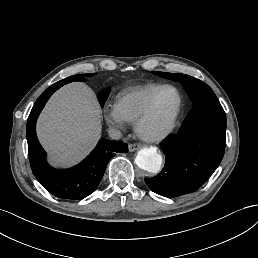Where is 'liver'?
Listing matches in <instances>:
<instances>
[{
	"mask_svg": "<svg viewBox=\"0 0 258 258\" xmlns=\"http://www.w3.org/2000/svg\"><path fill=\"white\" fill-rule=\"evenodd\" d=\"M36 130L54 165L76 164L101 137V109L95 93L82 82L63 86L47 102Z\"/></svg>",
	"mask_w": 258,
	"mask_h": 258,
	"instance_id": "liver-1",
	"label": "liver"
}]
</instances>
